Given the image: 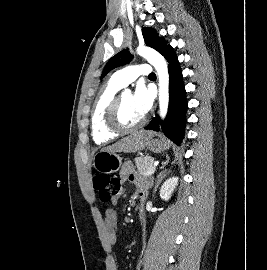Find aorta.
I'll return each mask as SVG.
<instances>
[{
    "mask_svg": "<svg viewBox=\"0 0 267 270\" xmlns=\"http://www.w3.org/2000/svg\"><path fill=\"white\" fill-rule=\"evenodd\" d=\"M137 53L144 57L157 71L159 79V109L161 118H165L169 104V73L165 58L150 47L139 46Z\"/></svg>",
    "mask_w": 267,
    "mask_h": 270,
    "instance_id": "aorta-1",
    "label": "aorta"
}]
</instances>
